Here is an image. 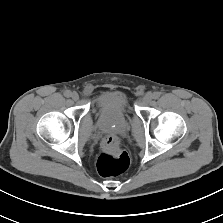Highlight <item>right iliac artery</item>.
Wrapping results in <instances>:
<instances>
[{"instance_id": "82829eb1", "label": "right iliac artery", "mask_w": 223, "mask_h": 223, "mask_svg": "<svg viewBox=\"0 0 223 223\" xmlns=\"http://www.w3.org/2000/svg\"><path fill=\"white\" fill-rule=\"evenodd\" d=\"M64 96L65 97H71V91H69V90H66L65 92H64Z\"/></svg>"}]
</instances>
